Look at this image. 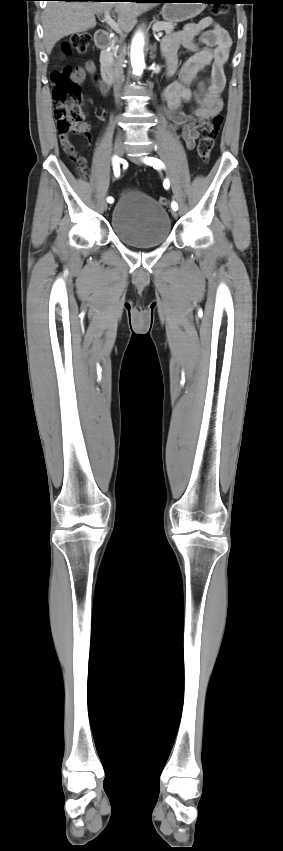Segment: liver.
Instances as JSON below:
<instances>
[{"mask_svg": "<svg viewBox=\"0 0 283 851\" xmlns=\"http://www.w3.org/2000/svg\"><path fill=\"white\" fill-rule=\"evenodd\" d=\"M154 6L156 3L48 1L42 16L46 52L49 55L62 38L94 28L95 13L114 8L118 14L117 24L123 31L130 32L136 24V18Z\"/></svg>", "mask_w": 283, "mask_h": 851, "instance_id": "1", "label": "liver"}]
</instances>
